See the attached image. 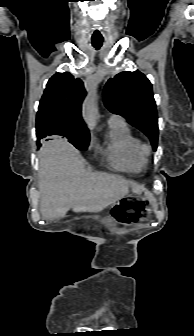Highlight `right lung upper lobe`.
<instances>
[{
    "instance_id": "1",
    "label": "right lung upper lobe",
    "mask_w": 194,
    "mask_h": 336,
    "mask_svg": "<svg viewBox=\"0 0 194 336\" xmlns=\"http://www.w3.org/2000/svg\"><path fill=\"white\" fill-rule=\"evenodd\" d=\"M86 95L83 82L70 73H56L50 78L37 112V144L42 138L72 134L88 135L81 117V104Z\"/></svg>"
}]
</instances>
